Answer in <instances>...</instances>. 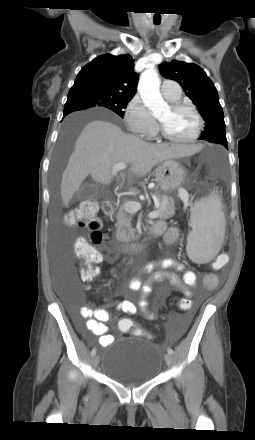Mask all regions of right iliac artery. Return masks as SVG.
Here are the masks:
<instances>
[{"label": "right iliac artery", "instance_id": "1", "mask_svg": "<svg viewBox=\"0 0 255 440\" xmlns=\"http://www.w3.org/2000/svg\"><path fill=\"white\" fill-rule=\"evenodd\" d=\"M96 354V349L94 348V349H92V351H91V356H94Z\"/></svg>", "mask_w": 255, "mask_h": 440}]
</instances>
